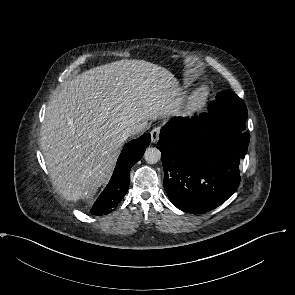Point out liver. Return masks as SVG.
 <instances>
[{
    "label": "liver",
    "mask_w": 295,
    "mask_h": 295,
    "mask_svg": "<svg viewBox=\"0 0 295 295\" xmlns=\"http://www.w3.org/2000/svg\"><path fill=\"white\" fill-rule=\"evenodd\" d=\"M180 88L167 69L144 60H120L87 70L50 100L41 149L53 184L67 200L94 196L110 176L127 127L180 105Z\"/></svg>",
    "instance_id": "6515ba94"
}]
</instances>
